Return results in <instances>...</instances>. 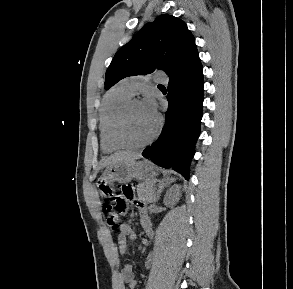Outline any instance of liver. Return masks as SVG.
I'll list each match as a JSON object with an SVG mask.
<instances>
[{
  "mask_svg": "<svg viewBox=\"0 0 293 289\" xmlns=\"http://www.w3.org/2000/svg\"><path fill=\"white\" fill-rule=\"evenodd\" d=\"M141 157L140 154L129 151H122L112 154L111 156L105 157L102 160V167H108L117 162H128L135 161Z\"/></svg>",
  "mask_w": 293,
  "mask_h": 289,
  "instance_id": "1",
  "label": "liver"
}]
</instances>
